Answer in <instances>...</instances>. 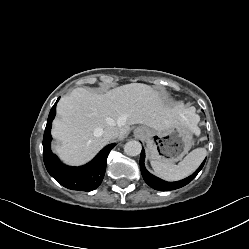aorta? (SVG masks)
Returning a JSON list of instances; mask_svg holds the SVG:
<instances>
[{
	"instance_id": "762f6f07",
	"label": "aorta",
	"mask_w": 249,
	"mask_h": 249,
	"mask_svg": "<svg viewBox=\"0 0 249 249\" xmlns=\"http://www.w3.org/2000/svg\"><path fill=\"white\" fill-rule=\"evenodd\" d=\"M142 146L140 142L131 140L124 146V152L129 156H137L141 153Z\"/></svg>"
}]
</instances>
